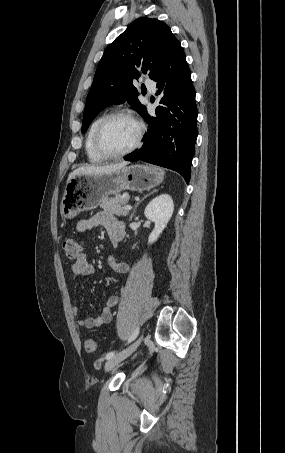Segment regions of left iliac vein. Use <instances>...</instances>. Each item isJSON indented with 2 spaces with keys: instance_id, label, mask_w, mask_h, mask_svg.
Listing matches in <instances>:
<instances>
[{
  "instance_id": "obj_1",
  "label": "left iliac vein",
  "mask_w": 285,
  "mask_h": 453,
  "mask_svg": "<svg viewBox=\"0 0 285 453\" xmlns=\"http://www.w3.org/2000/svg\"><path fill=\"white\" fill-rule=\"evenodd\" d=\"M143 340V335H141L135 342H133L130 346H128L126 349L122 350L121 352L117 353L108 361L105 363V372L110 371L114 367H116L120 362H122L124 359L129 357L140 345V343Z\"/></svg>"
}]
</instances>
